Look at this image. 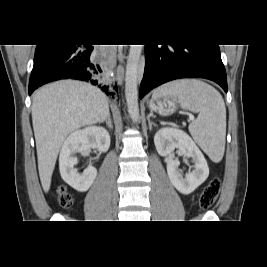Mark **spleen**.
Returning <instances> with one entry per match:
<instances>
[{
	"label": "spleen",
	"mask_w": 267,
	"mask_h": 267,
	"mask_svg": "<svg viewBox=\"0 0 267 267\" xmlns=\"http://www.w3.org/2000/svg\"><path fill=\"white\" fill-rule=\"evenodd\" d=\"M162 96L178 98L183 109L199 113L189 125V132L213 162H220L226 137V107L221 94L201 80L181 79L167 83L153 93V99Z\"/></svg>",
	"instance_id": "spleen-1"
}]
</instances>
